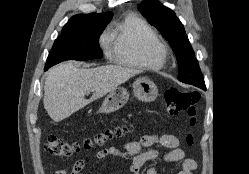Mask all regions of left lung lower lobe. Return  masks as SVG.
Returning <instances> with one entry per match:
<instances>
[{
    "label": "left lung lower lobe",
    "instance_id": "1",
    "mask_svg": "<svg viewBox=\"0 0 249 174\" xmlns=\"http://www.w3.org/2000/svg\"><path fill=\"white\" fill-rule=\"evenodd\" d=\"M192 85L197 86V87H199V88H202V89H204V90L206 89L204 80H203V81H199V82H197V83H194V84H192Z\"/></svg>",
    "mask_w": 249,
    "mask_h": 174
}]
</instances>
